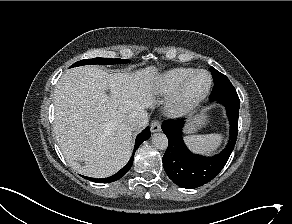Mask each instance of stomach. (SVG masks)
Wrapping results in <instances>:
<instances>
[{"instance_id": "1", "label": "stomach", "mask_w": 292, "mask_h": 224, "mask_svg": "<svg viewBox=\"0 0 292 224\" xmlns=\"http://www.w3.org/2000/svg\"><path fill=\"white\" fill-rule=\"evenodd\" d=\"M209 120V114L207 111H203L200 113V115L195 116L193 119L190 120L188 125L185 128L186 133H194L201 128H203Z\"/></svg>"}]
</instances>
